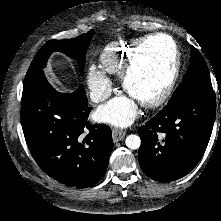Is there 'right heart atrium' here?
I'll use <instances>...</instances> for the list:
<instances>
[{
  "label": "right heart atrium",
  "instance_id": "d8ad5b80",
  "mask_svg": "<svg viewBox=\"0 0 221 221\" xmlns=\"http://www.w3.org/2000/svg\"><path fill=\"white\" fill-rule=\"evenodd\" d=\"M88 82L96 101L102 100L107 94L108 77L97 67L91 66L88 70Z\"/></svg>",
  "mask_w": 221,
  "mask_h": 221
}]
</instances>
